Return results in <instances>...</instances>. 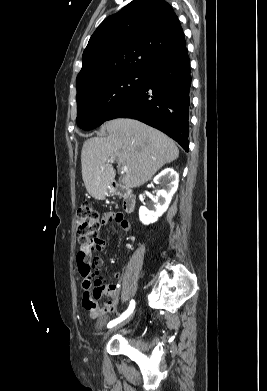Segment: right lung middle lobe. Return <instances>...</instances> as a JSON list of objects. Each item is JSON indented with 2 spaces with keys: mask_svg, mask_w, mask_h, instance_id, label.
<instances>
[{
  "mask_svg": "<svg viewBox=\"0 0 267 391\" xmlns=\"http://www.w3.org/2000/svg\"><path fill=\"white\" fill-rule=\"evenodd\" d=\"M144 72L125 71L97 77L77 92V124L91 130L143 85Z\"/></svg>",
  "mask_w": 267,
  "mask_h": 391,
  "instance_id": "1",
  "label": "right lung middle lobe"
}]
</instances>
